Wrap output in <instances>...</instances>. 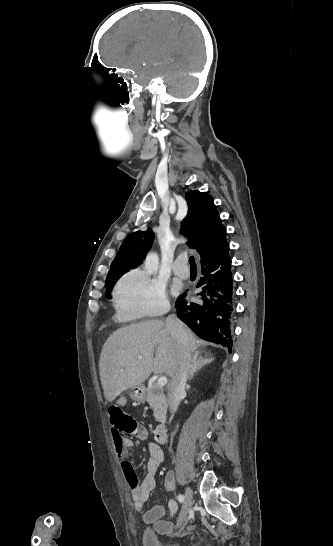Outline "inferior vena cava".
I'll return each instance as SVG.
<instances>
[{"label":"inferior vena cava","instance_id":"1","mask_svg":"<svg viewBox=\"0 0 333 546\" xmlns=\"http://www.w3.org/2000/svg\"><path fill=\"white\" fill-rule=\"evenodd\" d=\"M169 309L166 310L168 312ZM166 330L177 343V367L168 386V405L175 413L185 394V385L192 367L189 338L183 323L174 315L166 318Z\"/></svg>","mask_w":333,"mask_h":546}]
</instances>
